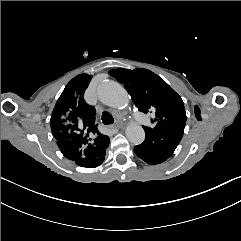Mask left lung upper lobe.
<instances>
[{
	"label": "left lung upper lobe",
	"instance_id": "5c2ea615",
	"mask_svg": "<svg viewBox=\"0 0 241 241\" xmlns=\"http://www.w3.org/2000/svg\"><path fill=\"white\" fill-rule=\"evenodd\" d=\"M116 78L130 94L139 111L156 109L154 128L143 127L145 133L185 127L186 113L181 97L158 75L147 69H113Z\"/></svg>",
	"mask_w": 241,
	"mask_h": 241
}]
</instances>
